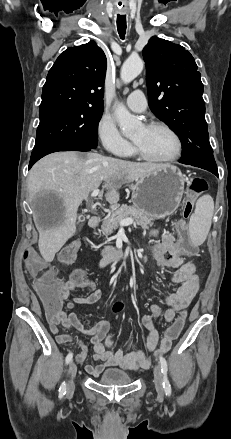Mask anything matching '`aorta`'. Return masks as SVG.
<instances>
[{
	"instance_id": "762f6f07",
	"label": "aorta",
	"mask_w": 231,
	"mask_h": 439,
	"mask_svg": "<svg viewBox=\"0 0 231 439\" xmlns=\"http://www.w3.org/2000/svg\"><path fill=\"white\" fill-rule=\"evenodd\" d=\"M143 70V61L139 57H130L122 65L120 77L122 81L127 84L135 79ZM117 122L126 137H131L141 126L128 109L122 104L118 103L115 109Z\"/></svg>"
}]
</instances>
